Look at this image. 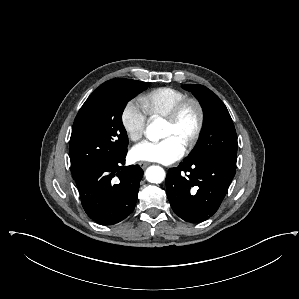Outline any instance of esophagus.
<instances>
[{
    "mask_svg": "<svg viewBox=\"0 0 299 299\" xmlns=\"http://www.w3.org/2000/svg\"><path fill=\"white\" fill-rule=\"evenodd\" d=\"M150 163L149 162H145V161H141L138 163V165L142 168L145 169Z\"/></svg>",
    "mask_w": 299,
    "mask_h": 299,
    "instance_id": "esophagus-1",
    "label": "esophagus"
}]
</instances>
